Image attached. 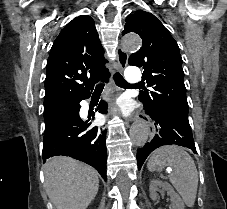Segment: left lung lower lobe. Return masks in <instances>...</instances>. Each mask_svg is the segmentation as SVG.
I'll return each mask as SVG.
<instances>
[{
	"instance_id": "obj_1",
	"label": "left lung lower lobe",
	"mask_w": 227,
	"mask_h": 209,
	"mask_svg": "<svg viewBox=\"0 0 227 209\" xmlns=\"http://www.w3.org/2000/svg\"><path fill=\"white\" fill-rule=\"evenodd\" d=\"M147 115L155 122L158 134L154 139L137 150V164L140 170L148 155L163 145H179L191 149L194 153L195 144L188 116L181 115L166 106L151 109L145 108Z\"/></svg>"
}]
</instances>
